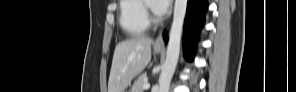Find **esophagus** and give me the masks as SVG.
<instances>
[{"instance_id":"esophagus-1","label":"esophagus","mask_w":296,"mask_h":92,"mask_svg":"<svg viewBox=\"0 0 296 92\" xmlns=\"http://www.w3.org/2000/svg\"><path fill=\"white\" fill-rule=\"evenodd\" d=\"M163 45V32H160L158 37L156 38L154 42L155 47H161Z\"/></svg>"}]
</instances>
